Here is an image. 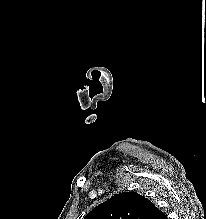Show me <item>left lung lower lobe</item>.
I'll list each match as a JSON object with an SVG mask.
<instances>
[{
    "mask_svg": "<svg viewBox=\"0 0 206 219\" xmlns=\"http://www.w3.org/2000/svg\"><path fill=\"white\" fill-rule=\"evenodd\" d=\"M151 219H167V216L159 210L156 206L153 208V215Z\"/></svg>",
    "mask_w": 206,
    "mask_h": 219,
    "instance_id": "left-lung-lower-lobe-1",
    "label": "left lung lower lobe"
}]
</instances>
